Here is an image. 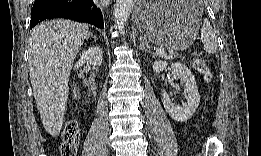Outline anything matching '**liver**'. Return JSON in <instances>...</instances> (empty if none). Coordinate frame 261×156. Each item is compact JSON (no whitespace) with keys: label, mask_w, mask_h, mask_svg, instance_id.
I'll list each match as a JSON object with an SVG mask.
<instances>
[{"label":"liver","mask_w":261,"mask_h":156,"mask_svg":"<svg viewBox=\"0 0 261 156\" xmlns=\"http://www.w3.org/2000/svg\"><path fill=\"white\" fill-rule=\"evenodd\" d=\"M89 27L65 19L43 21L29 38V73L45 130L57 136L63 125L72 64Z\"/></svg>","instance_id":"6515ba94"}]
</instances>
